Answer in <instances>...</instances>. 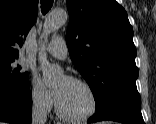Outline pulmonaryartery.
<instances>
[{"instance_id":"e3ab8cb5","label":"pulmonary artery","mask_w":156,"mask_h":124,"mask_svg":"<svg viewBox=\"0 0 156 124\" xmlns=\"http://www.w3.org/2000/svg\"><path fill=\"white\" fill-rule=\"evenodd\" d=\"M43 51L48 52L58 59H65L67 57V47L61 37L54 38L47 46L43 48Z\"/></svg>"}]
</instances>
